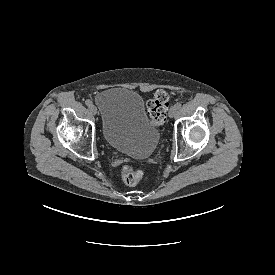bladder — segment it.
I'll use <instances>...</instances> for the list:
<instances>
[{
	"mask_svg": "<svg viewBox=\"0 0 275 275\" xmlns=\"http://www.w3.org/2000/svg\"><path fill=\"white\" fill-rule=\"evenodd\" d=\"M95 103L101 111L104 140L111 148L138 159L153 154L159 134L134 90L109 89L99 93Z\"/></svg>",
	"mask_w": 275,
	"mask_h": 275,
	"instance_id": "obj_1",
	"label": "bladder"
}]
</instances>
